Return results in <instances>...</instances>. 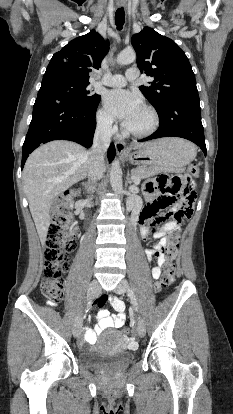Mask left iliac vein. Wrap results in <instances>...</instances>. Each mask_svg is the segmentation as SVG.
Wrapping results in <instances>:
<instances>
[{
    "label": "left iliac vein",
    "instance_id": "obj_1",
    "mask_svg": "<svg viewBox=\"0 0 233 414\" xmlns=\"http://www.w3.org/2000/svg\"><path fill=\"white\" fill-rule=\"evenodd\" d=\"M127 287H128V282L126 280H121L119 284L117 285L115 292L118 294H124L127 290ZM136 329H137V334L140 337H143L145 335V332H146L145 323L143 319L140 317L138 318V324H137Z\"/></svg>",
    "mask_w": 233,
    "mask_h": 414
}]
</instances>
